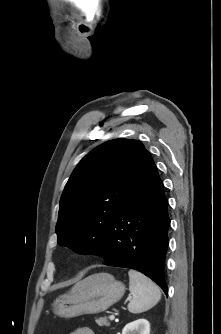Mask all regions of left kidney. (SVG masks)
<instances>
[{
	"label": "left kidney",
	"mask_w": 221,
	"mask_h": 334,
	"mask_svg": "<svg viewBox=\"0 0 221 334\" xmlns=\"http://www.w3.org/2000/svg\"><path fill=\"white\" fill-rule=\"evenodd\" d=\"M122 334H150V323L146 319H138L128 323Z\"/></svg>",
	"instance_id": "1"
}]
</instances>
